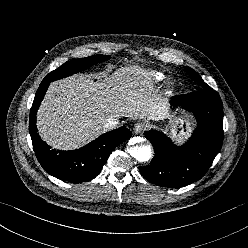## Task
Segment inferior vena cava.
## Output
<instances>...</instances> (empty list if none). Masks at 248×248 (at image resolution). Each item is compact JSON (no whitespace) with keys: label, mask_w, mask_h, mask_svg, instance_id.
Here are the masks:
<instances>
[{"label":"inferior vena cava","mask_w":248,"mask_h":248,"mask_svg":"<svg viewBox=\"0 0 248 248\" xmlns=\"http://www.w3.org/2000/svg\"><path fill=\"white\" fill-rule=\"evenodd\" d=\"M119 124V120L116 119V118H109L104 127L107 128V129H112V128H115L117 127V125Z\"/></svg>","instance_id":"inferior-vena-cava-1"}]
</instances>
